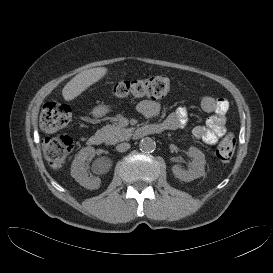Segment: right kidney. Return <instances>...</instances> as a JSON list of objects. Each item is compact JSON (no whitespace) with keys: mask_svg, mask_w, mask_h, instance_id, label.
<instances>
[{"mask_svg":"<svg viewBox=\"0 0 273 273\" xmlns=\"http://www.w3.org/2000/svg\"><path fill=\"white\" fill-rule=\"evenodd\" d=\"M95 155L93 147H85L79 151L71 165V176L83 187L92 189L98 182V179L91 180L88 177L85 168V160Z\"/></svg>","mask_w":273,"mask_h":273,"instance_id":"obj_1","label":"right kidney"}]
</instances>
